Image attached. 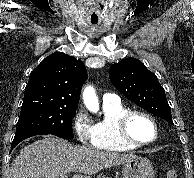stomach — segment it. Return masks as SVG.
<instances>
[{
  "mask_svg": "<svg viewBox=\"0 0 194 178\" xmlns=\"http://www.w3.org/2000/svg\"><path fill=\"white\" fill-rule=\"evenodd\" d=\"M123 178H153L154 170L150 160L136 157L124 163L122 168Z\"/></svg>",
  "mask_w": 194,
  "mask_h": 178,
  "instance_id": "1",
  "label": "stomach"
}]
</instances>
